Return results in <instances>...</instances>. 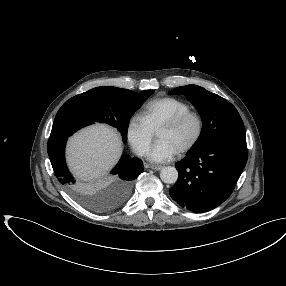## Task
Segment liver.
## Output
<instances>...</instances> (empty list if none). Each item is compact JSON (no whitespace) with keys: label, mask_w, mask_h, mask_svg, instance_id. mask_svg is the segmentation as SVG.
<instances>
[{"label":"liver","mask_w":286,"mask_h":286,"mask_svg":"<svg viewBox=\"0 0 286 286\" xmlns=\"http://www.w3.org/2000/svg\"><path fill=\"white\" fill-rule=\"evenodd\" d=\"M122 152L120 136L112 128L97 124L73 135L67 144V163L81 180L105 175L117 163Z\"/></svg>","instance_id":"liver-1"}]
</instances>
